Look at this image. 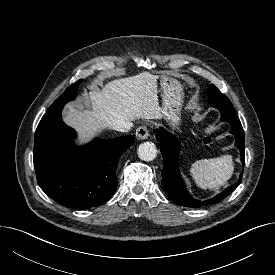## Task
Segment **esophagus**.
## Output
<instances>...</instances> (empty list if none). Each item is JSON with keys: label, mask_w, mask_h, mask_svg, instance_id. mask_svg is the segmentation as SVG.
Here are the masks:
<instances>
[{"label": "esophagus", "mask_w": 275, "mask_h": 275, "mask_svg": "<svg viewBox=\"0 0 275 275\" xmlns=\"http://www.w3.org/2000/svg\"><path fill=\"white\" fill-rule=\"evenodd\" d=\"M136 137L139 140H146L149 137V130L146 125H142L136 129Z\"/></svg>", "instance_id": "obj_1"}]
</instances>
